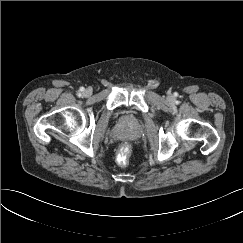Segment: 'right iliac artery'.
I'll return each instance as SVG.
<instances>
[{
	"instance_id": "right-iliac-artery-1",
	"label": "right iliac artery",
	"mask_w": 243,
	"mask_h": 243,
	"mask_svg": "<svg viewBox=\"0 0 243 243\" xmlns=\"http://www.w3.org/2000/svg\"><path fill=\"white\" fill-rule=\"evenodd\" d=\"M83 90H84V89H83V88H81V89H80V92H82Z\"/></svg>"
}]
</instances>
